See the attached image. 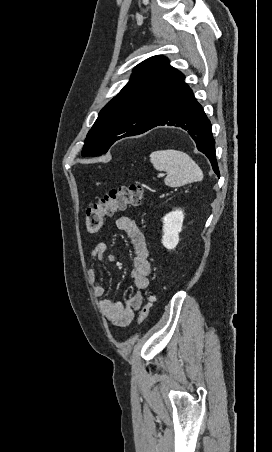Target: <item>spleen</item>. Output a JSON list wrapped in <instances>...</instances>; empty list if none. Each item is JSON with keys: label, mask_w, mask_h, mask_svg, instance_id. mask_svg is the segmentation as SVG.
<instances>
[{"label": "spleen", "mask_w": 272, "mask_h": 452, "mask_svg": "<svg viewBox=\"0 0 272 452\" xmlns=\"http://www.w3.org/2000/svg\"><path fill=\"white\" fill-rule=\"evenodd\" d=\"M150 161L156 170L166 171L165 184L171 187L201 181L203 172L195 161L179 150H158L152 152Z\"/></svg>", "instance_id": "3e777b00"}]
</instances>
